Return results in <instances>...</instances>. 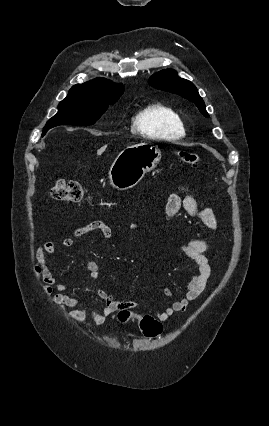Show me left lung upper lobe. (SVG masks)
<instances>
[{
    "label": "left lung upper lobe",
    "instance_id": "obj_1",
    "mask_svg": "<svg viewBox=\"0 0 269 426\" xmlns=\"http://www.w3.org/2000/svg\"><path fill=\"white\" fill-rule=\"evenodd\" d=\"M149 83L156 89L176 93L189 101L194 102L200 112L205 117H209V114L205 109L204 101L200 97L197 88L192 82L178 77L174 70L166 69L154 74L149 79Z\"/></svg>",
    "mask_w": 269,
    "mask_h": 426
}]
</instances>
